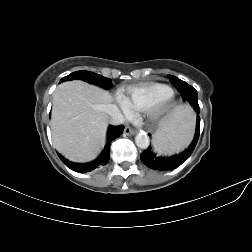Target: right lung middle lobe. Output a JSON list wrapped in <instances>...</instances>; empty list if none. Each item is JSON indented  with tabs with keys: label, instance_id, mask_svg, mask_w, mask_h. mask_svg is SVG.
I'll use <instances>...</instances> for the list:
<instances>
[{
	"label": "right lung middle lobe",
	"instance_id": "dd1d6c3e",
	"mask_svg": "<svg viewBox=\"0 0 252 252\" xmlns=\"http://www.w3.org/2000/svg\"><path fill=\"white\" fill-rule=\"evenodd\" d=\"M73 79L83 80L85 82L103 87L105 89H109L112 85L111 80L109 78H104L103 76H101L99 74L85 71V70L76 71V72L71 73L68 76L63 77L60 80V83L65 82V81H69V80H73Z\"/></svg>",
	"mask_w": 252,
	"mask_h": 252
}]
</instances>
